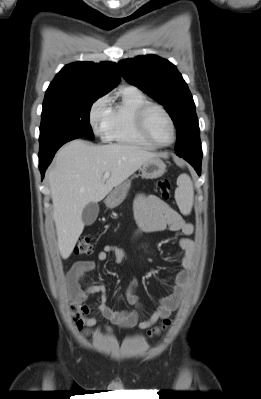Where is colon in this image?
Wrapping results in <instances>:
<instances>
[{
	"label": "colon",
	"mask_w": 261,
	"mask_h": 399,
	"mask_svg": "<svg viewBox=\"0 0 261 399\" xmlns=\"http://www.w3.org/2000/svg\"><path fill=\"white\" fill-rule=\"evenodd\" d=\"M158 188L160 194L164 199H168L171 192V183L168 179H161L158 181ZM94 250V244L92 238L89 235H82L79 237L74 253L76 255H88L91 254ZM71 317L73 322L78 328H81L84 323V317L88 314V308L77 301H72L70 305ZM171 324L170 319L166 318L163 320V323L155 328L149 330V336L158 335L161 332L165 331Z\"/></svg>",
	"instance_id": "obj_1"
}]
</instances>
